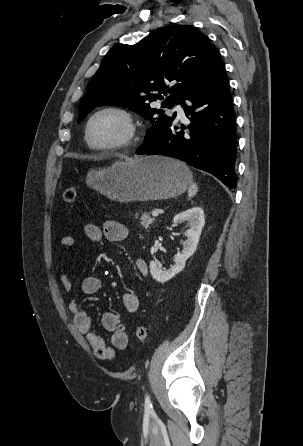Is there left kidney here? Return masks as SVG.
Returning a JSON list of instances; mask_svg holds the SVG:
<instances>
[{
    "instance_id": "obj_1",
    "label": "left kidney",
    "mask_w": 303,
    "mask_h": 446,
    "mask_svg": "<svg viewBox=\"0 0 303 446\" xmlns=\"http://www.w3.org/2000/svg\"><path fill=\"white\" fill-rule=\"evenodd\" d=\"M175 223L188 222L189 229L185 232L187 240L183 243L181 253L175 255V264L168 270H162L158 262H150V273L156 281L164 283L181 272L188 258L196 251L202 229L205 224L204 211L200 207H193L174 217Z\"/></svg>"
}]
</instances>
